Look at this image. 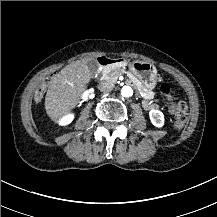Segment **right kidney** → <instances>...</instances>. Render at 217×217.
Masks as SVG:
<instances>
[{
  "mask_svg": "<svg viewBox=\"0 0 217 217\" xmlns=\"http://www.w3.org/2000/svg\"><path fill=\"white\" fill-rule=\"evenodd\" d=\"M72 121V117L71 116H68V117H66L64 120H63V123L64 124H68V123H70Z\"/></svg>",
  "mask_w": 217,
  "mask_h": 217,
  "instance_id": "ca27d5eb",
  "label": "right kidney"
}]
</instances>
